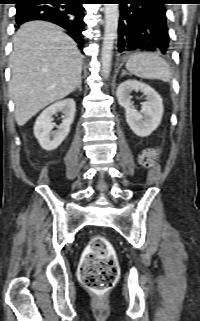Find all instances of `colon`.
I'll list each match as a JSON object with an SVG mask.
<instances>
[{"label":"colon","instance_id":"obj_1","mask_svg":"<svg viewBox=\"0 0 200 321\" xmlns=\"http://www.w3.org/2000/svg\"><path fill=\"white\" fill-rule=\"evenodd\" d=\"M157 157L155 150H147L141 155V164L149 167ZM119 274L114 248L102 235L94 236L83 256L79 276L82 284L92 292H106Z\"/></svg>","mask_w":200,"mask_h":321}]
</instances>
